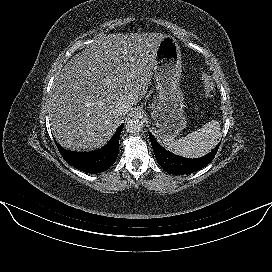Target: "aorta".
<instances>
[{
	"mask_svg": "<svg viewBox=\"0 0 272 272\" xmlns=\"http://www.w3.org/2000/svg\"><path fill=\"white\" fill-rule=\"evenodd\" d=\"M125 128L128 133L137 134L142 131L143 123L138 118H132L127 121Z\"/></svg>",
	"mask_w": 272,
	"mask_h": 272,
	"instance_id": "obj_1",
	"label": "aorta"
}]
</instances>
